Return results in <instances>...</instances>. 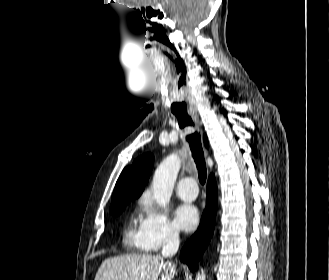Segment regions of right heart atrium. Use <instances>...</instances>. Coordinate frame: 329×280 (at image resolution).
I'll use <instances>...</instances> for the list:
<instances>
[{
    "mask_svg": "<svg viewBox=\"0 0 329 280\" xmlns=\"http://www.w3.org/2000/svg\"><path fill=\"white\" fill-rule=\"evenodd\" d=\"M142 206L145 210V217L142 221L143 234L148 249L156 251L163 246L177 242L179 230L167 214L154 206L149 197L143 198Z\"/></svg>",
    "mask_w": 329,
    "mask_h": 280,
    "instance_id": "right-heart-atrium-1",
    "label": "right heart atrium"
}]
</instances>
